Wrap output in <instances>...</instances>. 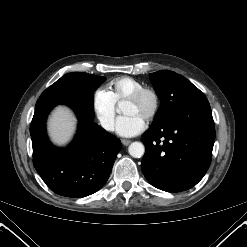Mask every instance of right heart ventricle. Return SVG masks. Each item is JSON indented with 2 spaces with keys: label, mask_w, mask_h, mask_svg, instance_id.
Listing matches in <instances>:
<instances>
[{
  "label": "right heart ventricle",
  "mask_w": 247,
  "mask_h": 247,
  "mask_svg": "<svg viewBox=\"0 0 247 247\" xmlns=\"http://www.w3.org/2000/svg\"><path fill=\"white\" fill-rule=\"evenodd\" d=\"M144 87V83L133 77L122 76L114 79L108 85V91L116 103H121L136 90Z\"/></svg>",
  "instance_id": "e07e8e85"
}]
</instances>
